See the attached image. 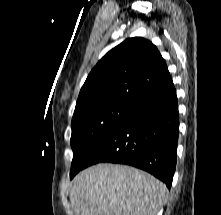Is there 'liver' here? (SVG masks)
I'll return each instance as SVG.
<instances>
[{
    "instance_id": "6515ba94",
    "label": "liver",
    "mask_w": 221,
    "mask_h": 215,
    "mask_svg": "<svg viewBox=\"0 0 221 215\" xmlns=\"http://www.w3.org/2000/svg\"><path fill=\"white\" fill-rule=\"evenodd\" d=\"M167 188L136 168L98 164L73 180L70 202L75 215H157Z\"/></svg>"
}]
</instances>
